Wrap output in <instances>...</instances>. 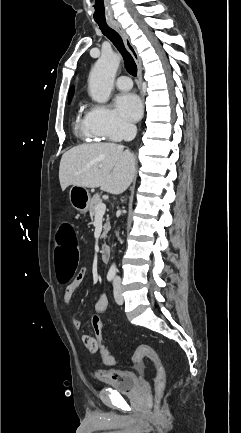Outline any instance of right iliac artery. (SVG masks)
Instances as JSON below:
<instances>
[{"instance_id": "right-iliac-artery-1", "label": "right iliac artery", "mask_w": 241, "mask_h": 433, "mask_svg": "<svg viewBox=\"0 0 241 433\" xmlns=\"http://www.w3.org/2000/svg\"><path fill=\"white\" fill-rule=\"evenodd\" d=\"M113 277H114L113 275H108V276H107V280H108V281H112V280H113Z\"/></svg>"}]
</instances>
